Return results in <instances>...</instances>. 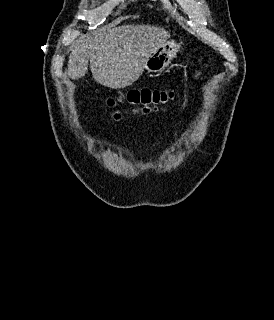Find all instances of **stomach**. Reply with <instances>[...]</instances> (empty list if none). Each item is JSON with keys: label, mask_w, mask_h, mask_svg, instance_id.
Listing matches in <instances>:
<instances>
[{"label": "stomach", "mask_w": 274, "mask_h": 320, "mask_svg": "<svg viewBox=\"0 0 274 320\" xmlns=\"http://www.w3.org/2000/svg\"><path fill=\"white\" fill-rule=\"evenodd\" d=\"M180 48V44H176V42H166L163 46L155 48L149 58H147L144 70L148 74L162 72V70H165L171 64V60L176 58L178 52H180Z\"/></svg>", "instance_id": "0dacf381"}]
</instances>
